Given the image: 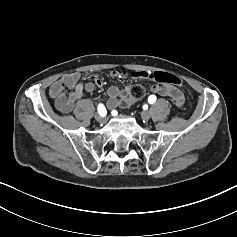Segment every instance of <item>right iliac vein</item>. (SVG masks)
<instances>
[{
    "label": "right iliac vein",
    "mask_w": 237,
    "mask_h": 237,
    "mask_svg": "<svg viewBox=\"0 0 237 237\" xmlns=\"http://www.w3.org/2000/svg\"><path fill=\"white\" fill-rule=\"evenodd\" d=\"M95 119H96L97 122H99L101 124L106 122V118L101 116V115H99V114L95 115Z\"/></svg>",
    "instance_id": "1"
}]
</instances>
